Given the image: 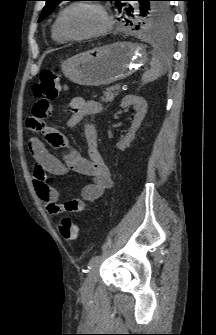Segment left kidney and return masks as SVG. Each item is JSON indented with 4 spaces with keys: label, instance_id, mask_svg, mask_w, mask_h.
<instances>
[{
    "label": "left kidney",
    "instance_id": "obj_1",
    "mask_svg": "<svg viewBox=\"0 0 216 335\" xmlns=\"http://www.w3.org/2000/svg\"><path fill=\"white\" fill-rule=\"evenodd\" d=\"M133 105L134 109L136 110V114L134 116V120L132 125L126 134V136L121 139L117 144L116 147L121 151H124L127 147L130 146V143L135 138V133L140 127L141 122L143 121L145 114L147 112V102L144 98L136 96V95H126L121 101V107L127 108Z\"/></svg>",
    "mask_w": 216,
    "mask_h": 335
}]
</instances>
